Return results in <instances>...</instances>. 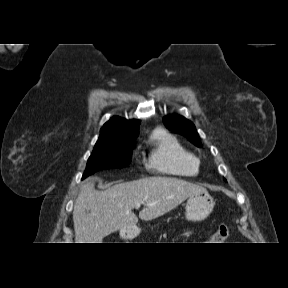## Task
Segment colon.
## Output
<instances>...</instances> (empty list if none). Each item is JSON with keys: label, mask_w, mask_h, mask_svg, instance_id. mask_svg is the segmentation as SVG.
<instances>
[{"label": "colon", "mask_w": 288, "mask_h": 288, "mask_svg": "<svg viewBox=\"0 0 288 288\" xmlns=\"http://www.w3.org/2000/svg\"><path fill=\"white\" fill-rule=\"evenodd\" d=\"M229 235V229L227 225L221 224L218 226L215 233L210 237V242L212 243H222L225 239H227Z\"/></svg>", "instance_id": "1"}]
</instances>
